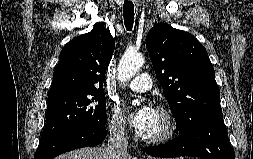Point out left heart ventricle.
<instances>
[{"label": "left heart ventricle", "mask_w": 253, "mask_h": 159, "mask_svg": "<svg viewBox=\"0 0 253 159\" xmlns=\"http://www.w3.org/2000/svg\"><path fill=\"white\" fill-rule=\"evenodd\" d=\"M164 130V121L161 115L156 111L155 116L148 126L147 130L143 133L145 136H156Z\"/></svg>", "instance_id": "obj_1"}]
</instances>
